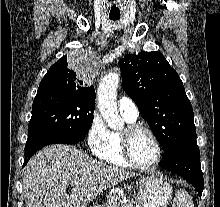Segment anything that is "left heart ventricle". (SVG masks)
<instances>
[{"instance_id": "b2bd125f", "label": "left heart ventricle", "mask_w": 220, "mask_h": 207, "mask_svg": "<svg viewBox=\"0 0 220 207\" xmlns=\"http://www.w3.org/2000/svg\"><path fill=\"white\" fill-rule=\"evenodd\" d=\"M131 153L140 164H151L157 158L156 145L145 131H138L131 138Z\"/></svg>"}]
</instances>
